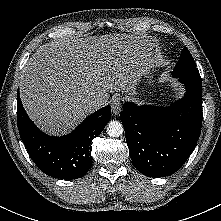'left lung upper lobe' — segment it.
<instances>
[{
	"mask_svg": "<svg viewBox=\"0 0 221 221\" xmlns=\"http://www.w3.org/2000/svg\"><path fill=\"white\" fill-rule=\"evenodd\" d=\"M173 77H198L200 78V74L198 69L196 68L195 61L191 56L188 49L185 47L180 55L179 61L177 62L173 72Z\"/></svg>",
	"mask_w": 221,
	"mask_h": 221,
	"instance_id": "obj_1",
	"label": "left lung upper lobe"
}]
</instances>
